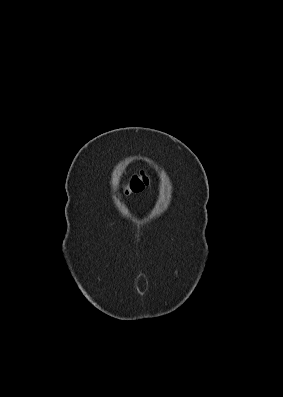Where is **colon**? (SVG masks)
Masks as SVG:
<instances>
[{
    "label": "colon",
    "mask_w": 283,
    "mask_h": 397,
    "mask_svg": "<svg viewBox=\"0 0 283 397\" xmlns=\"http://www.w3.org/2000/svg\"><path fill=\"white\" fill-rule=\"evenodd\" d=\"M149 183V177L144 172L134 174L124 185L126 194L137 193L142 191Z\"/></svg>",
    "instance_id": "colon-1"
}]
</instances>
